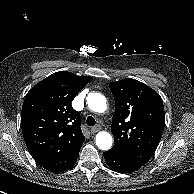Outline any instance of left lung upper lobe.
Masks as SVG:
<instances>
[{
	"instance_id": "obj_1",
	"label": "left lung upper lobe",
	"mask_w": 194,
	"mask_h": 194,
	"mask_svg": "<svg viewBox=\"0 0 194 194\" xmlns=\"http://www.w3.org/2000/svg\"><path fill=\"white\" fill-rule=\"evenodd\" d=\"M116 109L111 131L115 144L109 150L145 165L153 156L165 125L160 95L146 84L127 78L110 83Z\"/></svg>"
}]
</instances>
